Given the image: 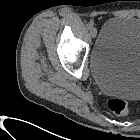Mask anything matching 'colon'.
<instances>
[{
    "instance_id": "obj_1",
    "label": "colon",
    "mask_w": 140,
    "mask_h": 140,
    "mask_svg": "<svg viewBox=\"0 0 140 140\" xmlns=\"http://www.w3.org/2000/svg\"><path fill=\"white\" fill-rule=\"evenodd\" d=\"M108 108L115 114L126 115L129 113L128 103L121 98H110L108 100Z\"/></svg>"
}]
</instances>
